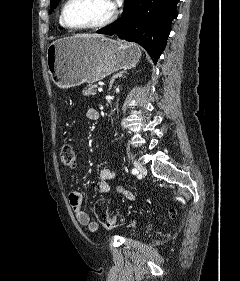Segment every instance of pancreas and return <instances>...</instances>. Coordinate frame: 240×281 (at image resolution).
<instances>
[{
    "label": "pancreas",
    "mask_w": 240,
    "mask_h": 281,
    "mask_svg": "<svg viewBox=\"0 0 240 281\" xmlns=\"http://www.w3.org/2000/svg\"><path fill=\"white\" fill-rule=\"evenodd\" d=\"M96 88H97V85H95V84L88 85L83 90V95L84 96H95L96 95Z\"/></svg>",
    "instance_id": "cf45deb5"
}]
</instances>
